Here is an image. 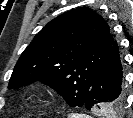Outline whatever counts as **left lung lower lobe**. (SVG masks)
<instances>
[{"instance_id": "1", "label": "left lung lower lobe", "mask_w": 133, "mask_h": 118, "mask_svg": "<svg viewBox=\"0 0 133 118\" xmlns=\"http://www.w3.org/2000/svg\"><path fill=\"white\" fill-rule=\"evenodd\" d=\"M125 100L123 87L122 62L117 42H114L107 59L96 73L84 106L90 109L94 105L99 108L115 100Z\"/></svg>"}]
</instances>
